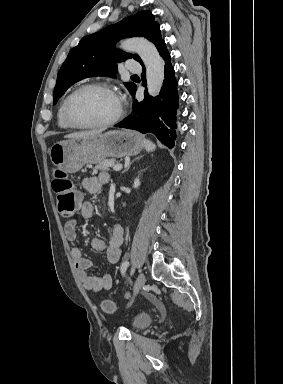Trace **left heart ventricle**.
<instances>
[{
	"mask_svg": "<svg viewBox=\"0 0 283 384\" xmlns=\"http://www.w3.org/2000/svg\"><path fill=\"white\" fill-rule=\"evenodd\" d=\"M117 110L115 97L103 90H86L71 102L69 115L76 125H92L109 120Z\"/></svg>",
	"mask_w": 283,
	"mask_h": 384,
	"instance_id": "obj_1",
	"label": "left heart ventricle"
}]
</instances>
